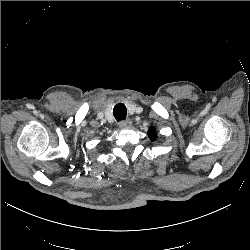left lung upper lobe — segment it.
Here are the masks:
<instances>
[{
  "label": "left lung upper lobe",
  "mask_w": 250,
  "mask_h": 250,
  "mask_svg": "<svg viewBox=\"0 0 250 250\" xmlns=\"http://www.w3.org/2000/svg\"><path fill=\"white\" fill-rule=\"evenodd\" d=\"M148 136H149V138L152 141H155L157 139V134H156V131H155L154 127H150L149 128V130H148Z\"/></svg>",
  "instance_id": "obj_1"
}]
</instances>
